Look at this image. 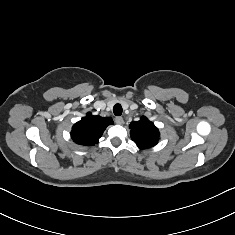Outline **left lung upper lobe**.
Instances as JSON below:
<instances>
[{
    "instance_id": "1",
    "label": "left lung upper lobe",
    "mask_w": 235,
    "mask_h": 235,
    "mask_svg": "<svg viewBox=\"0 0 235 235\" xmlns=\"http://www.w3.org/2000/svg\"><path fill=\"white\" fill-rule=\"evenodd\" d=\"M129 127L131 129L130 136L140 149L150 148L158 143L159 131L146 117L131 122Z\"/></svg>"
}]
</instances>
